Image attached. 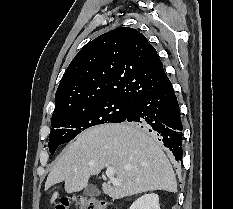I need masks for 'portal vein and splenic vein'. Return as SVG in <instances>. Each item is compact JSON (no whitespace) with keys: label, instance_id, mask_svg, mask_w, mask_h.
<instances>
[{"label":"portal vein and splenic vein","instance_id":"portal-vein-and-splenic-vein-1","mask_svg":"<svg viewBox=\"0 0 233 209\" xmlns=\"http://www.w3.org/2000/svg\"><path fill=\"white\" fill-rule=\"evenodd\" d=\"M106 176L110 179L113 185H120L121 183L114 177V169L112 167H108L106 169Z\"/></svg>","mask_w":233,"mask_h":209}]
</instances>
